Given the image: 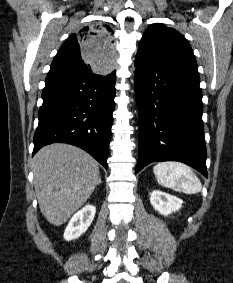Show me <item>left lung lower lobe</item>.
Here are the masks:
<instances>
[{
    "instance_id": "obj_1",
    "label": "left lung lower lobe",
    "mask_w": 233,
    "mask_h": 283,
    "mask_svg": "<svg viewBox=\"0 0 233 283\" xmlns=\"http://www.w3.org/2000/svg\"><path fill=\"white\" fill-rule=\"evenodd\" d=\"M135 67L140 119L136 173L152 162L180 161L208 177L197 65L136 55Z\"/></svg>"
}]
</instances>
